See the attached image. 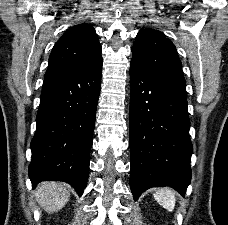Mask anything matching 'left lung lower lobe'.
<instances>
[{
  "label": "left lung lower lobe",
  "mask_w": 228,
  "mask_h": 225,
  "mask_svg": "<svg viewBox=\"0 0 228 225\" xmlns=\"http://www.w3.org/2000/svg\"><path fill=\"white\" fill-rule=\"evenodd\" d=\"M130 187L138 197L170 186L183 196L191 180L186 82L154 76L130 64Z\"/></svg>",
  "instance_id": "0a47b994"
}]
</instances>
